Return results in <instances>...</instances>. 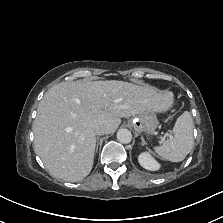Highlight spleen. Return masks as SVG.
<instances>
[{"mask_svg":"<svg viewBox=\"0 0 223 223\" xmlns=\"http://www.w3.org/2000/svg\"><path fill=\"white\" fill-rule=\"evenodd\" d=\"M193 118L188 111L181 114L173 127V136L162 145L154 147V151L164 160L181 162L194 146Z\"/></svg>","mask_w":223,"mask_h":223,"instance_id":"1","label":"spleen"}]
</instances>
